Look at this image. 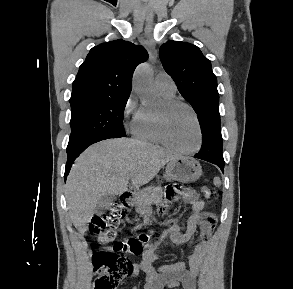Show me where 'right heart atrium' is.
Instances as JSON below:
<instances>
[{
    "label": "right heart atrium",
    "mask_w": 293,
    "mask_h": 289,
    "mask_svg": "<svg viewBox=\"0 0 293 289\" xmlns=\"http://www.w3.org/2000/svg\"><path fill=\"white\" fill-rule=\"evenodd\" d=\"M143 107L139 104L135 93H130L123 106V116L128 120L127 128L132 130L138 121Z\"/></svg>",
    "instance_id": "obj_1"
}]
</instances>
